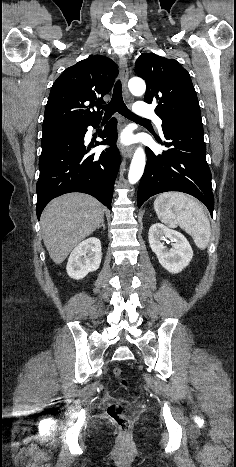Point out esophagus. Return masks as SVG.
Returning a JSON list of instances; mask_svg holds the SVG:
<instances>
[{
	"label": "esophagus",
	"instance_id": "obj_1",
	"mask_svg": "<svg viewBox=\"0 0 236 467\" xmlns=\"http://www.w3.org/2000/svg\"><path fill=\"white\" fill-rule=\"evenodd\" d=\"M119 72H120V79L123 85L124 96L128 100L129 93L127 89V81L129 77V72H128V67H127V62L124 58H121L119 60ZM133 151H134L133 146L123 147L121 149V154L124 158H130L133 155Z\"/></svg>",
	"mask_w": 236,
	"mask_h": 467
}]
</instances>
